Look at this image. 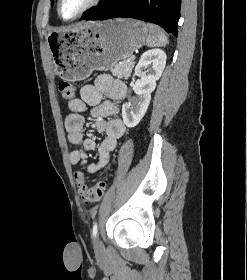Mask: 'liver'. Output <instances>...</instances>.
Here are the masks:
<instances>
[{"label":"liver","instance_id":"obj_1","mask_svg":"<svg viewBox=\"0 0 247 280\" xmlns=\"http://www.w3.org/2000/svg\"><path fill=\"white\" fill-rule=\"evenodd\" d=\"M87 24H88V23H78V24L69 26V27L66 28V29H63L62 31H67V30H70V29L80 28V27H83V26H85V25H87Z\"/></svg>","mask_w":247,"mask_h":280}]
</instances>
